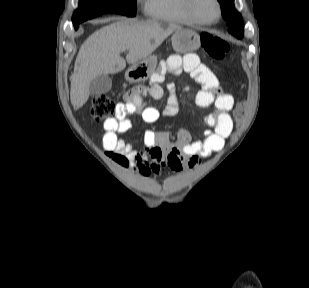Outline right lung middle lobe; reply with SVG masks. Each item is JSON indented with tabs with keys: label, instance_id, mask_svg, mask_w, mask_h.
Here are the masks:
<instances>
[{
	"label": "right lung middle lobe",
	"instance_id": "obj_1",
	"mask_svg": "<svg viewBox=\"0 0 309 288\" xmlns=\"http://www.w3.org/2000/svg\"><path fill=\"white\" fill-rule=\"evenodd\" d=\"M136 15V0H79V7L72 16L75 29L79 24L104 13Z\"/></svg>",
	"mask_w": 309,
	"mask_h": 288
}]
</instances>
